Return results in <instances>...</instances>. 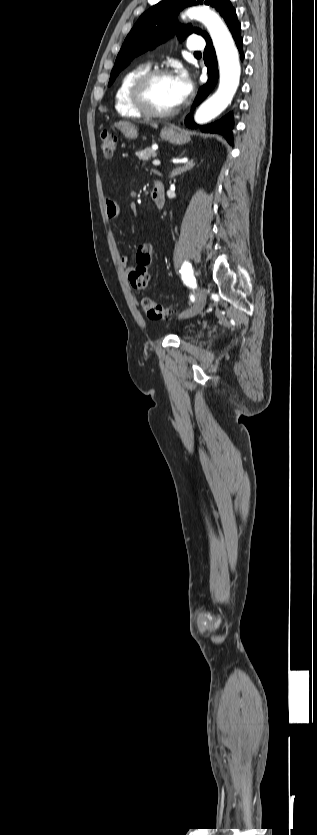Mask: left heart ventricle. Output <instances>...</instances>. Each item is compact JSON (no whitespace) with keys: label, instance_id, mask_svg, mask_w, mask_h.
<instances>
[{"label":"left heart ventricle","instance_id":"b2bd125f","mask_svg":"<svg viewBox=\"0 0 317 835\" xmlns=\"http://www.w3.org/2000/svg\"><path fill=\"white\" fill-rule=\"evenodd\" d=\"M149 100L157 110L161 111L169 110L177 106L173 77L156 79L149 90Z\"/></svg>","mask_w":317,"mask_h":835}]
</instances>
